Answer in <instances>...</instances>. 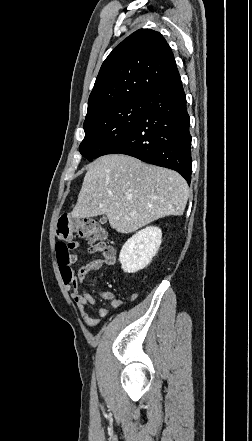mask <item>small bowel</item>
<instances>
[{"label":"small bowel","instance_id":"obj_1","mask_svg":"<svg viewBox=\"0 0 252 441\" xmlns=\"http://www.w3.org/2000/svg\"><path fill=\"white\" fill-rule=\"evenodd\" d=\"M79 247L80 245L78 242H71V249H78ZM98 252L100 253V256L84 265L80 269L77 277L73 276L71 280L63 278L67 288H70L71 286L74 288L72 299L80 310L85 325L89 328L100 324L101 318L108 316V310L105 308L97 309L96 314L98 317H94L86 311L87 306L95 305L96 303V300L86 291V283L97 271L115 263V252L112 247L105 245L104 248ZM75 259L76 258L73 256V262ZM99 295L107 300L113 307L117 308L121 305L120 300L111 291L99 290Z\"/></svg>","mask_w":252,"mask_h":441}]
</instances>
